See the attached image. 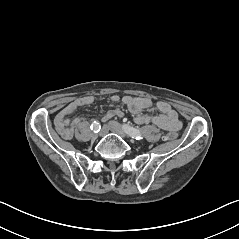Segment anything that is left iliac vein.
<instances>
[{"label":"left iliac vein","mask_w":239,"mask_h":239,"mask_svg":"<svg viewBox=\"0 0 239 239\" xmlns=\"http://www.w3.org/2000/svg\"><path fill=\"white\" fill-rule=\"evenodd\" d=\"M108 128L110 131H112L113 133L118 134L119 136H121L122 138H126V132L124 131L123 127L116 121H110L108 123Z\"/></svg>","instance_id":"obj_1"}]
</instances>
